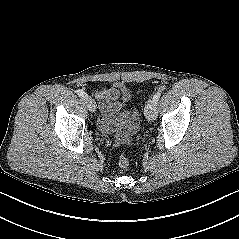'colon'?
Returning <instances> with one entry per match:
<instances>
[{
  "label": "colon",
  "instance_id": "1",
  "mask_svg": "<svg viewBox=\"0 0 239 239\" xmlns=\"http://www.w3.org/2000/svg\"><path fill=\"white\" fill-rule=\"evenodd\" d=\"M118 165L121 168H126L129 165V158L127 157L126 154H124V153L120 154V156L118 158Z\"/></svg>",
  "mask_w": 239,
  "mask_h": 239
}]
</instances>
